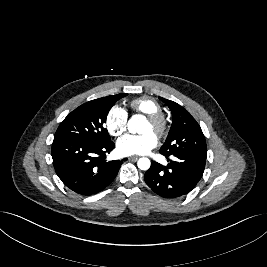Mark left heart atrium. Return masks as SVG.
I'll return each instance as SVG.
<instances>
[{
  "instance_id": "39dd6f15",
  "label": "left heart atrium",
  "mask_w": 267,
  "mask_h": 267,
  "mask_svg": "<svg viewBox=\"0 0 267 267\" xmlns=\"http://www.w3.org/2000/svg\"><path fill=\"white\" fill-rule=\"evenodd\" d=\"M157 145L156 136L151 133L141 135L127 134L117 141V151L124 156L143 155Z\"/></svg>"
}]
</instances>
